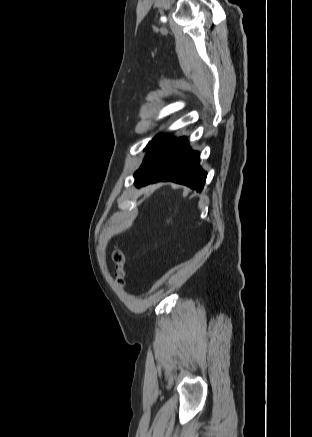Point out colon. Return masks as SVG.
Segmentation results:
<instances>
[{
	"label": "colon",
	"mask_w": 312,
	"mask_h": 437,
	"mask_svg": "<svg viewBox=\"0 0 312 437\" xmlns=\"http://www.w3.org/2000/svg\"><path fill=\"white\" fill-rule=\"evenodd\" d=\"M112 260L115 263L116 267V278L120 285L124 283V271H123V263H124V255L119 249H114L112 252Z\"/></svg>",
	"instance_id": "obj_1"
}]
</instances>
